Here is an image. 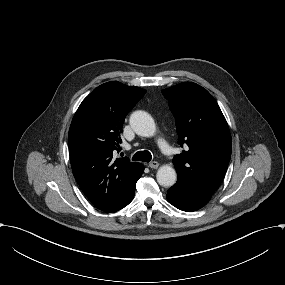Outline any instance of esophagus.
I'll list each match as a JSON object with an SVG mask.
<instances>
[{
    "label": "esophagus",
    "mask_w": 285,
    "mask_h": 285,
    "mask_svg": "<svg viewBox=\"0 0 285 285\" xmlns=\"http://www.w3.org/2000/svg\"><path fill=\"white\" fill-rule=\"evenodd\" d=\"M152 169H157L159 167V163L157 161H153L148 165Z\"/></svg>",
    "instance_id": "obj_1"
}]
</instances>
